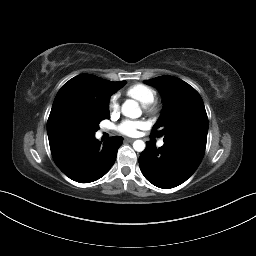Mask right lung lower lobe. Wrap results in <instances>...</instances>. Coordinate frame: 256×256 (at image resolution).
Listing matches in <instances>:
<instances>
[{"label":"right lung lower lobe","mask_w":256,"mask_h":256,"mask_svg":"<svg viewBox=\"0 0 256 256\" xmlns=\"http://www.w3.org/2000/svg\"><path fill=\"white\" fill-rule=\"evenodd\" d=\"M123 137H110L103 144L95 134L64 135L49 138L54 162L70 179L93 182L104 176L115 162Z\"/></svg>","instance_id":"right-lung-lower-lobe-1"}]
</instances>
